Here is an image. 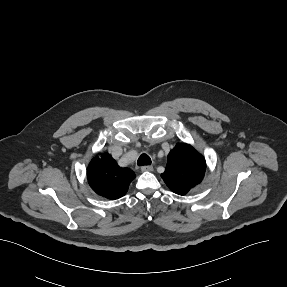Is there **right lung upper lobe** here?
I'll use <instances>...</instances> for the list:
<instances>
[{"mask_svg":"<svg viewBox=\"0 0 287 287\" xmlns=\"http://www.w3.org/2000/svg\"><path fill=\"white\" fill-rule=\"evenodd\" d=\"M135 174L121 168L108 153H100L92 159L87 169L91 188L100 196L114 200L124 196Z\"/></svg>","mask_w":287,"mask_h":287,"instance_id":"1","label":"right lung upper lobe"}]
</instances>
